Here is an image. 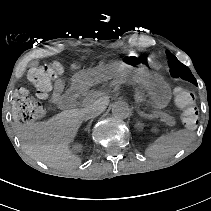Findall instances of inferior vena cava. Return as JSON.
I'll use <instances>...</instances> for the list:
<instances>
[{
    "instance_id": "obj_1",
    "label": "inferior vena cava",
    "mask_w": 211,
    "mask_h": 211,
    "mask_svg": "<svg viewBox=\"0 0 211 211\" xmlns=\"http://www.w3.org/2000/svg\"><path fill=\"white\" fill-rule=\"evenodd\" d=\"M104 111L105 107L97 101H94L92 104L81 109L79 113L80 116L87 121L89 119L99 116Z\"/></svg>"
}]
</instances>
